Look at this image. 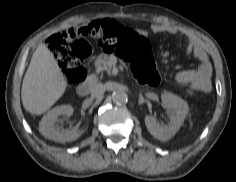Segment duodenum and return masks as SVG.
Listing matches in <instances>:
<instances>
[{"mask_svg":"<svg viewBox=\"0 0 236 182\" xmlns=\"http://www.w3.org/2000/svg\"><path fill=\"white\" fill-rule=\"evenodd\" d=\"M95 83V78H90L78 87V94L80 96H86L91 90V87Z\"/></svg>","mask_w":236,"mask_h":182,"instance_id":"410a0bca","label":"duodenum"}]
</instances>
